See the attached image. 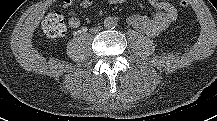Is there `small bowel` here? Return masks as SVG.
<instances>
[{
	"label": "small bowel",
	"mask_w": 217,
	"mask_h": 121,
	"mask_svg": "<svg viewBox=\"0 0 217 121\" xmlns=\"http://www.w3.org/2000/svg\"><path fill=\"white\" fill-rule=\"evenodd\" d=\"M94 0H83L81 6L83 8L89 7ZM127 0H108L111 4H118L126 2ZM152 3L160 13L154 18L149 19L145 16L134 15L129 18V22L136 28L148 33H153L165 28L176 18V10L172 6L169 0H148ZM74 0H63L64 8L68 10L69 26L71 28H77L80 25V20L76 13L72 10Z\"/></svg>",
	"instance_id": "c3829d8e"
}]
</instances>
